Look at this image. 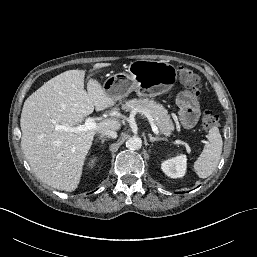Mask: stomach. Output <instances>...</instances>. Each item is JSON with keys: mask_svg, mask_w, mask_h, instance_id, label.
Returning a JSON list of instances; mask_svg holds the SVG:
<instances>
[{"mask_svg": "<svg viewBox=\"0 0 257 257\" xmlns=\"http://www.w3.org/2000/svg\"><path fill=\"white\" fill-rule=\"evenodd\" d=\"M127 72L113 75L103 84L105 93L115 101L132 91L142 97L164 94L177 80V69L165 61L135 60L128 65Z\"/></svg>", "mask_w": 257, "mask_h": 257, "instance_id": "stomach-1", "label": "stomach"}]
</instances>
